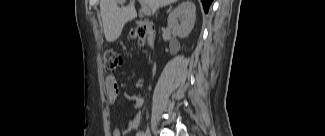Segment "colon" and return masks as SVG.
Listing matches in <instances>:
<instances>
[{
	"instance_id": "obj_1",
	"label": "colon",
	"mask_w": 325,
	"mask_h": 136,
	"mask_svg": "<svg viewBox=\"0 0 325 136\" xmlns=\"http://www.w3.org/2000/svg\"><path fill=\"white\" fill-rule=\"evenodd\" d=\"M147 35L148 32L143 28H139L132 33V36L139 42H142ZM103 59V68L107 73H113L122 64V57L113 49H107L104 52Z\"/></svg>"
}]
</instances>
